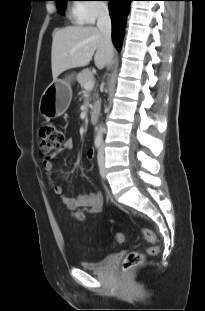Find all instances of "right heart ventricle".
Here are the masks:
<instances>
[{"mask_svg": "<svg viewBox=\"0 0 205 311\" xmlns=\"http://www.w3.org/2000/svg\"><path fill=\"white\" fill-rule=\"evenodd\" d=\"M72 17L73 19L78 22V23H83L81 17H80V14L77 10V6L73 9V12H72Z\"/></svg>", "mask_w": 205, "mask_h": 311, "instance_id": "e07e8e85", "label": "right heart ventricle"}]
</instances>
